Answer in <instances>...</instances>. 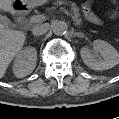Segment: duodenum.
I'll return each mask as SVG.
<instances>
[{
	"label": "duodenum",
	"instance_id": "obj_1",
	"mask_svg": "<svg viewBox=\"0 0 119 119\" xmlns=\"http://www.w3.org/2000/svg\"><path fill=\"white\" fill-rule=\"evenodd\" d=\"M27 13V8L22 5V4H18L16 7V16L21 19L23 18Z\"/></svg>",
	"mask_w": 119,
	"mask_h": 119
}]
</instances>
